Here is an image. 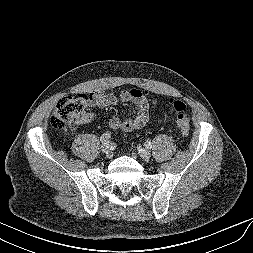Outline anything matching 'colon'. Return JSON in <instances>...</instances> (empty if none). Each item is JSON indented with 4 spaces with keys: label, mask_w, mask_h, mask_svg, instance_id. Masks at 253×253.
<instances>
[{
    "label": "colon",
    "mask_w": 253,
    "mask_h": 253,
    "mask_svg": "<svg viewBox=\"0 0 253 253\" xmlns=\"http://www.w3.org/2000/svg\"><path fill=\"white\" fill-rule=\"evenodd\" d=\"M88 106L89 100L86 96L70 95L62 97L52 114V126L60 130H74L80 122L87 121L90 118ZM170 106L176 113V123L181 134L186 136L190 125V117L186 105L182 101L171 100Z\"/></svg>",
    "instance_id": "1"
}]
</instances>
